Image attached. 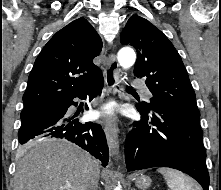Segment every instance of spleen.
Segmentation results:
<instances>
[{"label": "spleen", "instance_id": "1", "mask_svg": "<svg viewBox=\"0 0 221 190\" xmlns=\"http://www.w3.org/2000/svg\"><path fill=\"white\" fill-rule=\"evenodd\" d=\"M157 172L163 175L170 190H200L197 183L178 170L161 167Z\"/></svg>", "mask_w": 221, "mask_h": 190}]
</instances>
